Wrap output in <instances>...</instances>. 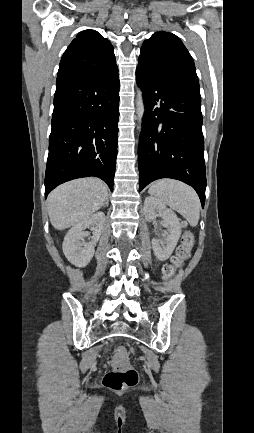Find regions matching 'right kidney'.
Here are the masks:
<instances>
[{
  "label": "right kidney",
  "mask_w": 254,
  "mask_h": 433,
  "mask_svg": "<svg viewBox=\"0 0 254 433\" xmlns=\"http://www.w3.org/2000/svg\"><path fill=\"white\" fill-rule=\"evenodd\" d=\"M105 223V214L97 212L75 224L66 234L63 241V252L66 258L77 267L88 265L94 255V248L102 233ZM91 229L93 236L91 241L85 242L86 228Z\"/></svg>",
  "instance_id": "obj_1"
}]
</instances>
